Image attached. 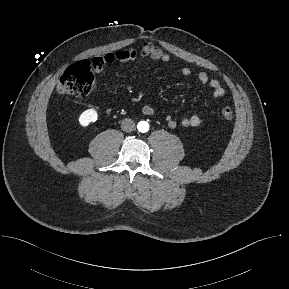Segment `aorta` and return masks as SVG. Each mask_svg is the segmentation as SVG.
<instances>
[{"label": "aorta", "instance_id": "762f6f07", "mask_svg": "<svg viewBox=\"0 0 289 289\" xmlns=\"http://www.w3.org/2000/svg\"><path fill=\"white\" fill-rule=\"evenodd\" d=\"M138 130L142 133H145L149 130V124L146 121H140L138 123Z\"/></svg>", "mask_w": 289, "mask_h": 289}]
</instances>
